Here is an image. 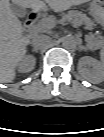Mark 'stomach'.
<instances>
[{"label": "stomach", "instance_id": "1", "mask_svg": "<svg viewBox=\"0 0 104 137\" xmlns=\"http://www.w3.org/2000/svg\"><path fill=\"white\" fill-rule=\"evenodd\" d=\"M103 1L101 0H92L90 4V10L94 17H100L102 14V7Z\"/></svg>", "mask_w": 104, "mask_h": 137}]
</instances>
